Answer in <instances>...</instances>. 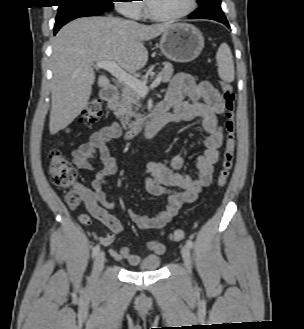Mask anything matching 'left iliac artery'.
<instances>
[{
  "label": "left iliac artery",
  "instance_id": "left-iliac-artery-1",
  "mask_svg": "<svg viewBox=\"0 0 304 329\" xmlns=\"http://www.w3.org/2000/svg\"><path fill=\"white\" fill-rule=\"evenodd\" d=\"M186 244H187V246H188L189 248H192V247H193V242H192V240H190V239L187 240Z\"/></svg>",
  "mask_w": 304,
  "mask_h": 329
}]
</instances>
